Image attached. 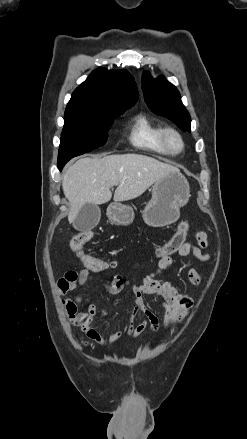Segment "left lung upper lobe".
Listing matches in <instances>:
<instances>
[{
  "label": "left lung upper lobe",
  "instance_id": "1",
  "mask_svg": "<svg viewBox=\"0 0 247 439\" xmlns=\"http://www.w3.org/2000/svg\"><path fill=\"white\" fill-rule=\"evenodd\" d=\"M142 90L145 102L153 112L169 118L183 131L190 132V115L174 85L162 76L153 79L145 71L142 76Z\"/></svg>",
  "mask_w": 247,
  "mask_h": 439
}]
</instances>
